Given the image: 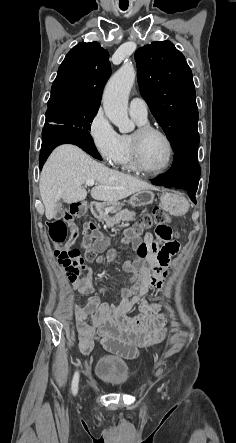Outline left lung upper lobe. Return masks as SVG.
Masks as SVG:
<instances>
[{
    "instance_id": "obj_1",
    "label": "left lung upper lobe",
    "mask_w": 236,
    "mask_h": 443,
    "mask_svg": "<svg viewBox=\"0 0 236 443\" xmlns=\"http://www.w3.org/2000/svg\"><path fill=\"white\" fill-rule=\"evenodd\" d=\"M140 93L174 151L198 138V109L190 67L170 41L152 42L135 52Z\"/></svg>"
}]
</instances>
